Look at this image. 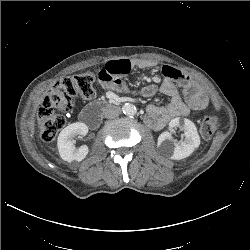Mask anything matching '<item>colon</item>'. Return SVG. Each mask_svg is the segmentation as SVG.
<instances>
[{"instance_id":"obj_1","label":"colon","mask_w":250,"mask_h":250,"mask_svg":"<svg viewBox=\"0 0 250 250\" xmlns=\"http://www.w3.org/2000/svg\"><path fill=\"white\" fill-rule=\"evenodd\" d=\"M96 76L93 72H84L57 82L44 98L38 112L37 122L43 141H53L65 125L62 115L72 110L77 99L89 100L95 96ZM220 122L215 116H207L200 123V133L204 139H210L218 129Z\"/></svg>"}]
</instances>
